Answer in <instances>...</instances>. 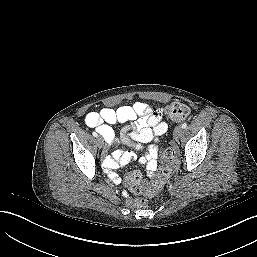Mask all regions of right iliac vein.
<instances>
[{
  "mask_svg": "<svg viewBox=\"0 0 257 257\" xmlns=\"http://www.w3.org/2000/svg\"><path fill=\"white\" fill-rule=\"evenodd\" d=\"M97 143H98V146H99L100 148H103V147H104V140H103V138H102L101 136H98V137H97Z\"/></svg>",
  "mask_w": 257,
  "mask_h": 257,
  "instance_id": "right-iliac-vein-1",
  "label": "right iliac vein"
}]
</instances>
